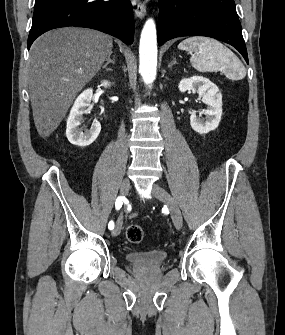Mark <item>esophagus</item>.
Returning <instances> with one entry per match:
<instances>
[{"label": "esophagus", "instance_id": "1", "mask_svg": "<svg viewBox=\"0 0 285 335\" xmlns=\"http://www.w3.org/2000/svg\"><path fill=\"white\" fill-rule=\"evenodd\" d=\"M135 15L139 18H143L146 13L145 4L140 0H132L131 2Z\"/></svg>", "mask_w": 285, "mask_h": 335}]
</instances>
